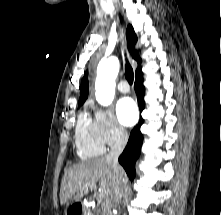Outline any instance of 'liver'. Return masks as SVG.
Returning a JSON list of instances; mask_svg holds the SVG:
<instances>
[{
  "instance_id": "obj_1",
  "label": "liver",
  "mask_w": 221,
  "mask_h": 215,
  "mask_svg": "<svg viewBox=\"0 0 221 215\" xmlns=\"http://www.w3.org/2000/svg\"><path fill=\"white\" fill-rule=\"evenodd\" d=\"M119 176L122 183L126 175L119 166ZM99 182V197L105 202L113 198L116 178L113 168L105 157L81 162L70 167L64 174L60 188V203L64 205L69 199L79 202L88 194L90 187H96Z\"/></svg>"
}]
</instances>
